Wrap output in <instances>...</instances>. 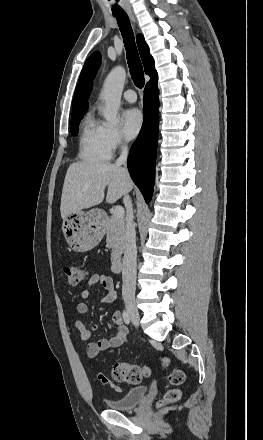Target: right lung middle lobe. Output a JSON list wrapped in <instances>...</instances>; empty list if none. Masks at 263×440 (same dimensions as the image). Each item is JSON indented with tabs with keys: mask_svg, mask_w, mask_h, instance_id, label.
<instances>
[{
	"mask_svg": "<svg viewBox=\"0 0 263 440\" xmlns=\"http://www.w3.org/2000/svg\"><path fill=\"white\" fill-rule=\"evenodd\" d=\"M83 114L77 115L75 117H72L71 120V133L73 136L77 135L78 133V126L80 123V120L82 119Z\"/></svg>",
	"mask_w": 263,
	"mask_h": 440,
	"instance_id": "obj_1",
	"label": "right lung middle lobe"
}]
</instances>
